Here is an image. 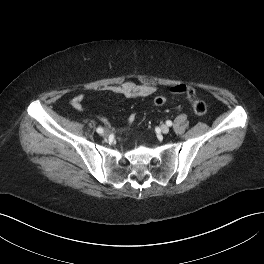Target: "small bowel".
I'll return each mask as SVG.
<instances>
[{
  "mask_svg": "<svg viewBox=\"0 0 264 264\" xmlns=\"http://www.w3.org/2000/svg\"><path fill=\"white\" fill-rule=\"evenodd\" d=\"M187 89V86L184 84H175L170 88V91L173 94H184ZM100 91L112 92L118 94L125 98H139V97H148L153 95L157 88L152 84H137L132 81H125L119 85H107L99 88ZM85 95L78 94L72 101L71 105L76 110L84 109ZM100 119L107 123L108 119L105 116H101ZM133 117H130L128 122H131Z\"/></svg>",
  "mask_w": 264,
  "mask_h": 264,
  "instance_id": "obj_1",
  "label": "small bowel"
}]
</instances>
